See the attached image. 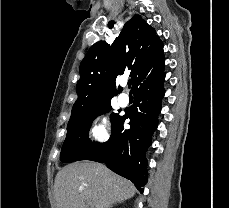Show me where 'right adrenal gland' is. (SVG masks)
Returning <instances> with one entry per match:
<instances>
[{
    "mask_svg": "<svg viewBox=\"0 0 229 208\" xmlns=\"http://www.w3.org/2000/svg\"><path fill=\"white\" fill-rule=\"evenodd\" d=\"M113 204H121V202H113ZM111 208H113L112 204H111Z\"/></svg>",
    "mask_w": 229,
    "mask_h": 208,
    "instance_id": "obj_1",
    "label": "right adrenal gland"
}]
</instances>
